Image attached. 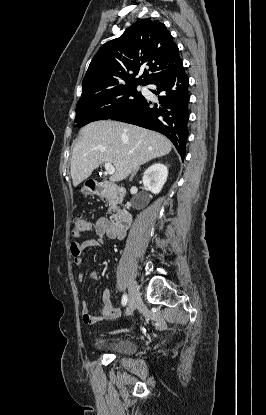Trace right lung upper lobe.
I'll return each mask as SVG.
<instances>
[{"label": "right lung upper lobe", "instance_id": "1", "mask_svg": "<svg viewBox=\"0 0 266 415\" xmlns=\"http://www.w3.org/2000/svg\"><path fill=\"white\" fill-rule=\"evenodd\" d=\"M144 65L149 69L136 79ZM181 65L179 49L166 26L151 18L140 19L96 53L83 79L80 99L124 85L150 84Z\"/></svg>", "mask_w": 266, "mask_h": 415}]
</instances>
